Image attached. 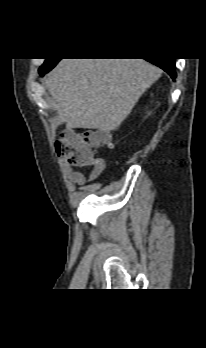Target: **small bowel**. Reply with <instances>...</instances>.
Wrapping results in <instances>:
<instances>
[{
  "label": "small bowel",
  "instance_id": "obj_1",
  "mask_svg": "<svg viewBox=\"0 0 206 348\" xmlns=\"http://www.w3.org/2000/svg\"><path fill=\"white\" fill-rule=\"evenodd\" d=\"M90 167L88 173H84L80 170H75L68 163L63 162V169L68 174L69 180L77 185H85L87 183L95 181L105 171L106 165L103 160H96L95 162L86 165Z\"/></svg>",
  "mask_w": 206,
  "mask_h": 348
}]
</instances>
